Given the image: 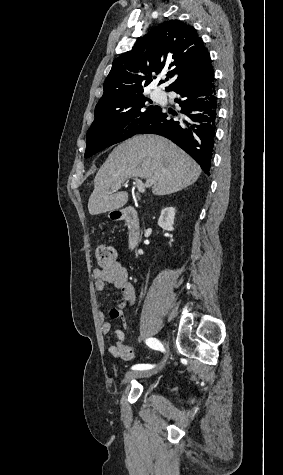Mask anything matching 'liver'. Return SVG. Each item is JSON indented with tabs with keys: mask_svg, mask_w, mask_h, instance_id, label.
Returning <instances> with one entry per match:
<instances>
[{
	"mask_svg": "<svg viewBox=\"0 0 283 475\" xmlns=\"http://www.w3.org/2000/svg\"><path fill=\"white\" fill-rule=\"evenodd\" d=\"M201 168L176 144L155 136L143 134L125 140L114 148L97 172L94 190L89 198L91 216L123 208L128 202L127 192L109 194L128 178L151 180L155 196L180 192L198 180Z\"/></svg>",
	"mask_w": 283,
	"mask_h": 475,
	"instance_id": "6515ba94",
	"label": "liver"
}]
</instances>
